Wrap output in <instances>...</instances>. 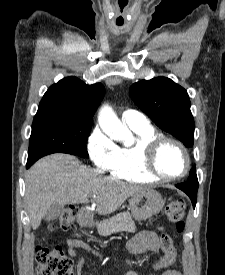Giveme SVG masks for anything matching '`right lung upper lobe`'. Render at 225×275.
<instances>
[{
  "label": "right lung upper lobe",
  "instance_id": "cb5924a9",
  "mask_svg": "<svg viewBox=\"0 0 225 275\" xmlns=\"http://www.w3.org/2000/svg\"><path fill=\"white\" fill-rule=\"evenodd\" d=\"M101 83L87 85L76 77H66L52 85L44 94L34 119L74 118L93 121L103 99Z\"/></svg>",
  "mask_w": 225,
  "mask_h": 275
}]
</instances>
